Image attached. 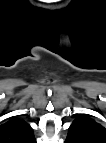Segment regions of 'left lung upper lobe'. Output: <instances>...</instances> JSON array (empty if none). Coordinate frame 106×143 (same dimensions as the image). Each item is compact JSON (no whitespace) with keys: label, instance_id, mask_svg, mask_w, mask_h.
<instances>
[{"label":"left lung upper lobe","instance_id":"5c2ea615","mask_svg":"<svg viewBox=\"0 0 106 143\" xmlns=\"http://www.w3.org/2000/svg\"><path fill=\"white\" fill-rule=\"evenodd\" d=\"M68 135L78 143H106V128L88 115L77 117L71 124Z\"/></svg>","mask_w":106,"mask_h":143}]
</instances>
